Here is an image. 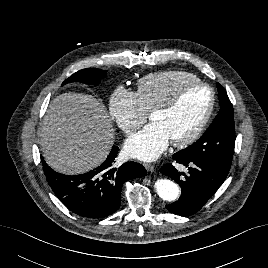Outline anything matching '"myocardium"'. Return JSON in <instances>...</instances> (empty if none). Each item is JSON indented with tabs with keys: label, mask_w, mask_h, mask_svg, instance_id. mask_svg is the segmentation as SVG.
<instances>
[{
	"label": "myocardium",
	"mask_w": 268,
	"mask_h": 268,
	"mask_svg": "<svg viewBox=\"0 0 268 268\" xmlns=\"http://www.w3.org/2000/svg\"><path fill=\"white\" fill-rule=\"evenodd\" d=\"M194 87H203V88L208 89L210 92V101L201 120L198 122V124L195 126L192 132L180 140L171 141V144L175 147H186L192 144L198 139L200 134L203 132V130L207 126L210 120V117L212 115L214 106H215V92L213 88L210 87L208 84L203 83L201 81L188 82V83L182 84L174 91V93L163 104L154 108L150 114L152 116L154 114H164V113L171 111L177 105L183 92Z\"/></svg>",
	"instance_id": "f54148a6"
}]
</instances>
